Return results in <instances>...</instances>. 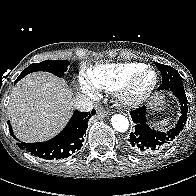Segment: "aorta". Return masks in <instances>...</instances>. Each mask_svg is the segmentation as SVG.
Segmentation results:
<instances>
[{"label": "aorta", "instance_id": "aorta-1", "mask_svg": "<svg viewBox=\"0 0 196 196\" xmlns=\"http://www.w3.org/2000/svg\"><path fill=\"white\" fill-rule=\"evenodd\" d=\"M113 128L118 132H126L129 128L128 119L121 114H115L111 118Z\"/></svg>", "mask_w": 196, "mask_h": 196}]
</instances>
